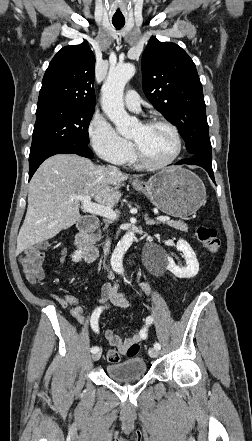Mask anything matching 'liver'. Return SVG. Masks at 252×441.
Listing matches in <instances>:
<instances>
[{"label": "liver", "mask_w": 252, "mask_h": 441, "mask_svg": "<svg viewBox=\"0 0 252 441\" xmlns=\"http://www.w3.org/2000/svg\"><path fill=\"white\" fill-rule=\"evenodd\" d=\"M128 174L93 164L74 154H57L44 161L29 184L28 208L17 237L16 253L56 236L81 220L80 200L90 196L112 208Z\"/></svg>", "instance_id": "obj_1"}]
</instances>
